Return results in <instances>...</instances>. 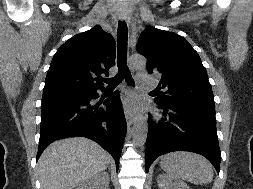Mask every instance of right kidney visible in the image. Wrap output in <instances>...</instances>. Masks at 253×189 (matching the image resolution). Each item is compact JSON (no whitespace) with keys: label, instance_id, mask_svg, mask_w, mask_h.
I'll list each match as a JSON object with an SVG mask.
<instances>
[{"label":"right kidney","instance_id":"1","mask_svg":"<svg viewBox=\"0 0 253 189\" xmlns=\"http://www.w3.org/2000/svg\"><path fill=\"white\" fill-rule=\"evenodd\" d=\"M108 187L109 175L107 172H102L81 183L76 189H108Z\"/></svg>","mask_w":253,"mask_h":189}]
</instances>
